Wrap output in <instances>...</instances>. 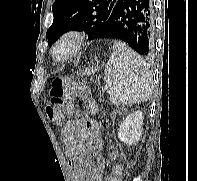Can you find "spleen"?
<instances>
[{
    "mask_svg": "<svg viewBox=\"0 0 197 181\" xmlns=\"http://www.w3.org/2000/svg\"><path fill=\"white\" fill-rule=\"evenodd\" d=\"M110 101L130 105L148 100L152 75L145 61L124 42L115 41L104 72Z\"/></svg>",
    "mask_w": 197,
    "mask_h": 181,
    "instance_id": "obj_1",
    "label": "spleen"
}]
</instances>
